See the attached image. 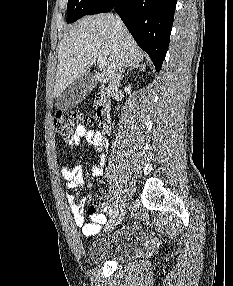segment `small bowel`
<instances>
[{"label":"small bowel","mask_w":233,"mask_h":286,"mask_svg":"<svg viewBox=\"0 0 233 286\" xmlns=\"http://www.w3.org/2000/svg\"><path fill=\"white\" fill-rule=\"evenodd\" d=\"M83 138L97 149V162L91 167V174L93 176H100L103 173L108 154V141L99 131L89 129L86 125H78L74 135L67 142V147L73 148L78 146ZM61 174L67 189L76 190L84 186L85 178L81 167L69 168L63 166ZM67 201L71 206L74 224L82 228V232L86 237L96 235L105 222L106 199L99 197L88 208V223L85 222L86 202L83 200L77 201L73 194L67 195Z\"/></svg>","instance_id":"1"}]
</instances>
